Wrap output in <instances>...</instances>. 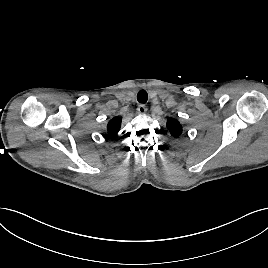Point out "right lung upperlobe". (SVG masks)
Returning a JSON list of instances; mask_svg holds the SVG:
<instances>
[{
    "instance_id": "1",
    "label": "right lung upper lobe",
    "mask_w": 268,
    "mask_h": 268,
    "mask_svg": "<svg viewBox=\"0 0 268 268\" xmlns=\"http://www.w3.org/2000/svg\"><path fill=\"white\" fill-rule=\"evenodd\" d=\"M121 121L122 118L120 117H114L109 121L107 125L109 135H115L120 130Z\"/></svg>"
}]
</instances>
